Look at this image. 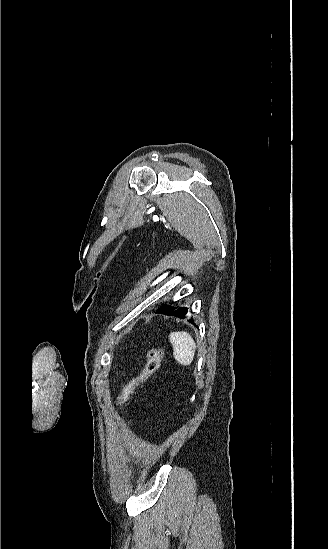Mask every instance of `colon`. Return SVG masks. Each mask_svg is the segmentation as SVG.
<instances>
[{
	"mask_svg": "<svg viewBox=\"0 0 328 549\" xmlns=\"http://www.w3.org/2000/svg\"><path fill=\"white\" fill-rule=\"evenodd\" d=\"M162 351L158 348L152 347L146 352V362L141 372L131 379L122 389L118 399L117 406H124L136 388L151 378L159 369L162 360Z\"/></svg>",
	"mask_w": 328,
	"mask_h": 549,
	"instance_id": "5ec220e1",
	"label": "colon"
}]
</instances>
